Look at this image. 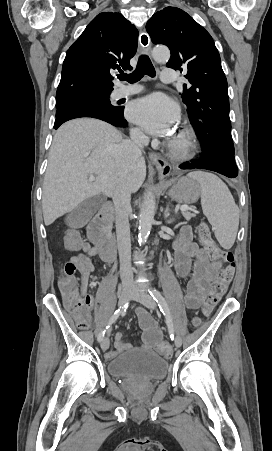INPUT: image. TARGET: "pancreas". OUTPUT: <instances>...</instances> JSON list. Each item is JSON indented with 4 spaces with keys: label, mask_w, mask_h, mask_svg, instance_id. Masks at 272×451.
Returning <instances> with one entry per match:
<instances>
[{
    "label": "pancreas",
    "mask_w": 272,
    "mask_h": 451,
    "mask_svg": "<svg viewBox=\"0 0 272 451\" xmlns=\"http://www.w3.org/2000/svg\"><path fill=\"white\" fill-rule=\"evenodd\" d=\"M182 216H184L185 220H191V218H194L195 214H191V212H182Z\"/></svg>",
    "instance_id": "obj_1"
}]
</instances>
